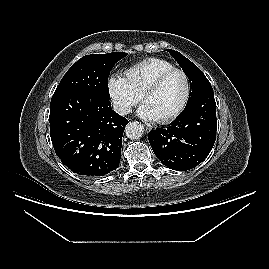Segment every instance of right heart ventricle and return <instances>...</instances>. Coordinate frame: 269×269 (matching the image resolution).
<instances>
[{"instance_id":"e07e8e85","label":"right heart ventricle","mask_w":269,"mask_h":269,"mask_svg":"<svg viewBox=\"0 0 269 269\" xmlns=\"http://www.w3.org/2000/svg\"><path fill=\"white\" fill-rule=\"evenodd\" d=\"M174 68V65L161 58L145 59L125 71L130 87L139 95L161 73Z\"/></svg>"}]
</instances>
